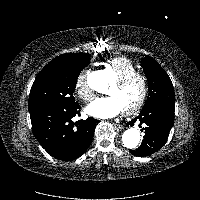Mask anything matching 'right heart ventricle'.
Returning <instances> with one entry per match:
<instances>
[{"label":"right heart ventricle","mask_w":200,"mask_h":200,"mask_svg":"<svg viewBox=\"0 0 200 200\" xmlns=\"http://www.w3.org/2000/svg\"><path fill=\"white\" fill-rule=\"evenodd\" d=\"M104 65L114 72L117 78L137 70L136 65L125 56H115L105 61Z\"/></svg>","instance_id":"obj_1"}]
</instances>
